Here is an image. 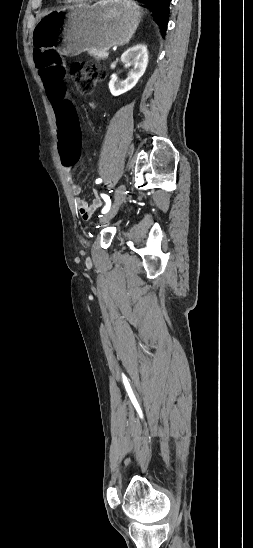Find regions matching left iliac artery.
<instances>
[{
    "mask_svg": "<svg viewBox=\"0 0 253 548\" xmlns=\"http://www.w3.org/2000/svg\"><path fill=\"white\" fill-rule=\"evenodd\" d=\"M101 182H102V179H100V178L96 180V184H99ZM101 196L104 199V201L106 202V205L104 206V208L101 211L102 214H105L110 210L111 200H110L109 196L106 195V194H102Z\"/></svg>",
    "mask_w": 253,
    "mask_h": 548,
    "instance_id": "left-iliac-artery-1",
    "label": "left iliac artery"
}]
</instances>
